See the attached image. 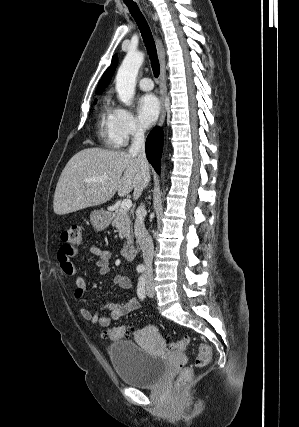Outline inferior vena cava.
I'll use <instances>...</instances> for the list:
<instances>
[{"instance_id": "inferior-vena-cava-1", "label": "inferior vena cava", "mask_w": 299, "mask_h": 427, "mask_svg": "<svg viewBox=\"0 0 299 427\" xmlns=\"http://www.w3.org/2000/svg\"><path fill=\"white\" fill-rule=\"evenodd\" d=\"M129 153L137 155V159L140 165L142 175L144 177V187H146L150 180L149 165L145 154V136L144 130L140 127H136L134 130V136L132 139ZM146 216L145 207L140 205L136 210V219L134 223V233L137 243L140 245L143 260L146 267V274L150 276L152 274V261L154 256V246L151 236L145 228L144 218Z\"/></svg>"}]
</instances>
